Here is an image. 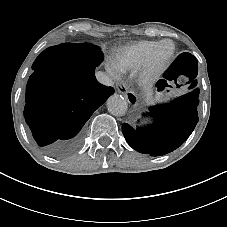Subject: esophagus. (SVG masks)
I'll return each instance as SVG.
<instances>
[{
  "mask_svg": "<svg viewBox=\"0 0 227 227\" xmlns=\"http://www.w3.org/2000/svg\"><path fill=\"white\" fill-rule=\"evenodd\" d=\"M116 88L118 93L124 96L132 107H136L138 105L139 99L137 95L133 91H131L123 82H117Z\"/></svg>",
  "mask_w": 227,
  "mask_h": 227,
  "instance_id": "1",
  "label": "esophagus"
}]
</instances>
